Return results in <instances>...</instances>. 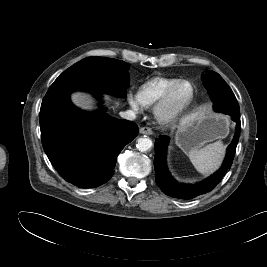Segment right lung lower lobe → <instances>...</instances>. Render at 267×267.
Listing matches in <instances>:
<instances>
[{
  "instance_id": "98d812e1",
  "label": "right lung lower lobe",
  "mask_w": 267,
  "mask_h": 267,
  "mask_svg": "<svg viewBox=\"0 0 267 267\" xmlns=\"http://www.w3.org/2000/svg\"><path fill=\"white\" fill-rule=\"evenodd\" d=\"M73 91L42 102V145L61 177L77 187L93 188L112 177L118 154L137 136L138 126L110 117L105 108L95 113L77 108L70 101ZM85 91L100 100L101 92Z\"/></svg>"
}]
</instances>
